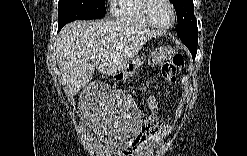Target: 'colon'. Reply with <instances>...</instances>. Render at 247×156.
<instances>
[{
	"instance_id": "colon-1",
	"label": "colon",
	"mask_w": 247,
	"mask_h": 156,
	"mask_svg": "<svg viewBox=\"0 0 247 156\" xmlns=\"http://www.w3.org/2000/svg\"><path fill=\"white\" fill-rule=\"evenodd\" d=\"M184 57L182 55H175L171 60L166 61L161 67L162 77L169 86L176 84L179 74L184 68ZM153 121H149V126L143 131L147 135L154 132V126H160V121L156 116L152 117Z\"/></svg>"
}]
</instances>
